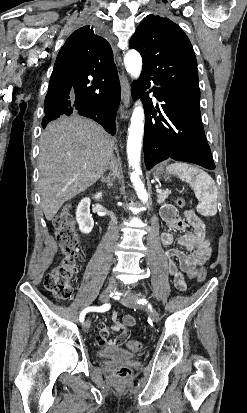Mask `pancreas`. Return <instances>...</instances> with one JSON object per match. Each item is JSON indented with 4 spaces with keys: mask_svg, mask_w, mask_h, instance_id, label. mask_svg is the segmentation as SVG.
I'll return each instance as SVG.
<instances>
[{
    "mask_svg": "<svg viewBox=\"0 0 247 413\" xmlns=\"http://www.w3.org/2000/svg\"><path fill=\"white\" fill-rule=\"evenodd\" d=\"M168 194H170L169 190H164V192H159V194H157L158 196L157 202H159V204H162V202H165V198H167Z\"/></svg>",
    "mask_w": 247,
    "mask_h": 413,
    "instance_id": "obj_1",
    "label": "pancreas"
}]
</instances>
